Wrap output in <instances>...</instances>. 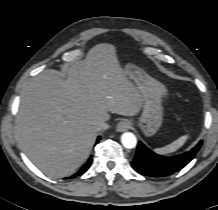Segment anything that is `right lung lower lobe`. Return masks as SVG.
<instances>
[{"label": "right lung lower lobe", "instance_id": "right-lung-lower-lobe-1", "mask_svg": "<svg viewBox=\"0 0 218 210\" xmlns=\"http://www.w3.org/2000/svg\"><path fill=\"white\" fill-rule=\"evenodd\" d=\"M99 139L100 137H98L97 140ZM91 163H92V158H89L88 161L82 166V168L75 175H73V177L85 173L88 170V168L91 166Z\"/></svg>", "mask_w": 218, "mask_h": 210}]
</instances>
